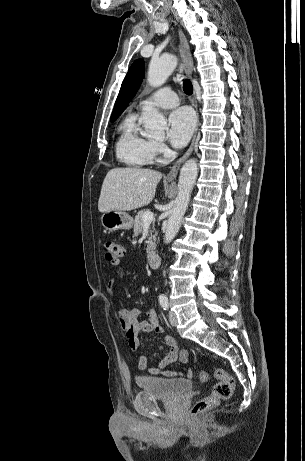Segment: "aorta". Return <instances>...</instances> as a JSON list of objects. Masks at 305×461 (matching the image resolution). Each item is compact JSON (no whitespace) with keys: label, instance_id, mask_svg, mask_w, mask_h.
Segmentation results:
<instances>
[{"label":"aorta","instance_id":"762f6f07","mask_svg":"<svg viewBox=\"0 0 305 461\" xmlns=\"http://www.w3.org/2000/svg\"><path fill=\"white\" fill-rule=\"evenodd\" d=\"M177 65L174 55H164L159 59L152 60L149 64L147 81L153 87L161 86L172 74ZM142 122L148 134L152 137H163L167 126L165 117L156 109L148 108L142 115ZM198 166L195 159H189L182 166L179 181L178 194L174 207L170 212L164 235V242L169 243L179 231L181 220L188 208L194 182L197 178Z\"/></svg>","mask_w":305,"mask_h":461}]
</instances>
